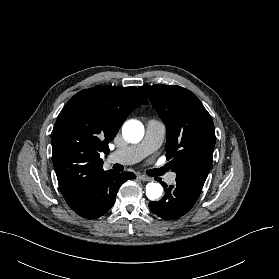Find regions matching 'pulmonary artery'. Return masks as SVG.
<instances>
[{
    "instance_id": "e3ab8cb5",
    "label": "pulmonary artery",
    "mask_w": 279,
    "mask_h": 279,
    "mask_svg": "<svg viewBox=\"0 0 279 279\" xmlns=\"http://www.w3.org/2000/svg\"><path fill=\"white\" fill-rule=\"evenodd\" d=\"M165 134L166 127L164 123L157 119H150L146 124V133L143 141L112 152L109 160L123 165L136 163L158 149L163 142ZM175 178V173H170L167 176V182L173 184Z\"/></svg>"
}]
</instances>
